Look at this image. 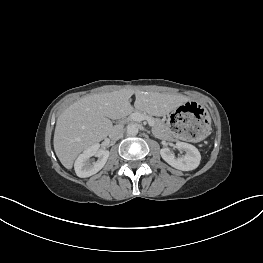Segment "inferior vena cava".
Returning <instances> with one entry per match:
<instances>
[{
    "label": "inferior vena cava",
    "instance_id": "obj_1",
    "mask_svg": "<svg viewBox=\"0 0 263 263\" xmlns=\"http://www.w3.org/2000/svg\"><path fill=\"white\" fill-rule=\"evenodd\" d=\"M109 137L112 140H119L123 137V127L120 125H116L112 128V130L109 133Z\"/></svg>",
    "mask_w": 263,
    "mask_h": 263
}]
</instances>
